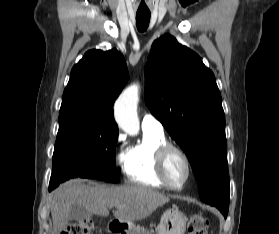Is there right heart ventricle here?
<instances>
[{
	"mask_svg": "<svg viewBox=\"0 0 279 234\" xmlns=\"http://www.w3.org/2000/svg\"><path fill=\"white\" fill-rule=\"evenodd\" d=\"M166 143L163 133L143 131L142 140L128 147L121 156L122 170L127 179L146 187H164L156 170L158 148Z\"/></svg>",
	"mask_w": 279,
	"mask_h": 234,
	"instance_id": "e07e8e85",
	"label": "right heart ventricle"
}]
</instances>
